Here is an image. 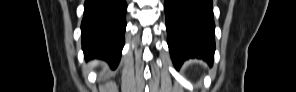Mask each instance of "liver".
<instances>
[{
  "label": "liver",
  "mask_w": 296,
  "mask_h": 92,
  "mask_svg": "<svg viewBox=\"0 0 296 92\" xmlns=\"http://www.w3.org/2000/svg\"><path fill=\"white\" fill-rule=\"evenodd\" d=\"M96 64V62H92L91 64H90V66H93V65H95Z\"/></svg>",
  "instance_id": "1"
}]
</instances>
